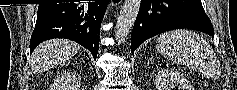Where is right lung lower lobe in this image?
<instances>
[{
  "instance_id": "obj_1",
  "label": "right lung lower lobe",
  "mask_w": 237,
  "mask_h": 90,
  "mask_svg": "<svg viewBox=\"0 0 237 90\" xmlns=\"http://www.w3.org/2000/svg\"><path fill=\"white\" fill-rule=\"evenodd\" d=\"M107 3V0H99L40 4L30 40V52L32 53L36 46L45 40L66 38L90 50L96 59L99 49L100 23Z\"/></svg>"
}]
</instances>
